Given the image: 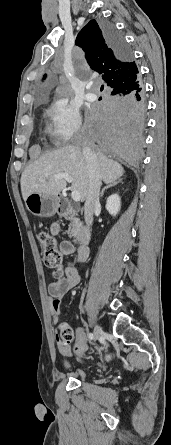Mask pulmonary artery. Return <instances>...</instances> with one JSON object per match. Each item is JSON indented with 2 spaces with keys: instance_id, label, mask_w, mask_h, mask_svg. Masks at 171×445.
<instances>
[{
  "instance_id": "pulmonary-artery-1",
  "label": "pulmonary artery",
  "mask_w": 171,
  "mask_h": 445,
  "mask_svg": "<svg viewBox=\"0 0 171 445\" xmlns=\"http://www.w3.org/2000/svg\"><path fill=\"white\" fill-rule=\"evenodd\" d=\"M95 98H96V96L94 94H92V93H88L85 96V99L88 100V101H94Z\"/></svg>"
}]
</instances>
